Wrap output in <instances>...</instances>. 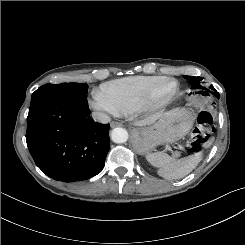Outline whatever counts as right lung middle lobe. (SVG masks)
Here are the masks:
<instances>
[{
	"instance_id": "1",
	"label": "right lung middle lobe",
	"mask_w": 245,
	"mask_h": 245,
	"mask_svg": "<svg viewBox=\"0 0 245 245\" xmlns=\"http://www.w3.org/2000/svg\"><path fill=\"white\" fill-rule=\"evenodd\" d=\"M88 85L86 83H61L45 84L39 87L33 94L31 102L52 95H62L72 98H85Z\"/></svg>"
}]
</instances>
